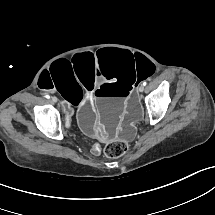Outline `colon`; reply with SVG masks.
<instances>
[{
    "mask_svg": "<svg viewBox=\"0 0 215 215\" xmlns=\"http://www.w3.org/2000/svg\"><path fill=\"white\" fill-rule=\"evenodd\" d=\"M127 151V145L124 142L116 141L105 146L104 154L108 158L122 156Z\"/></svg>",
    "mask_w": 215,
    "mask_h": 215,
    "instance_id": "5ec220e1",
    "label": "colon"
}]
</instances>
